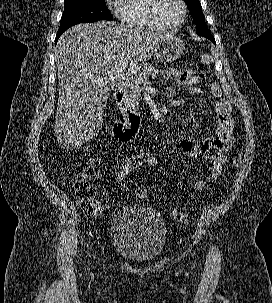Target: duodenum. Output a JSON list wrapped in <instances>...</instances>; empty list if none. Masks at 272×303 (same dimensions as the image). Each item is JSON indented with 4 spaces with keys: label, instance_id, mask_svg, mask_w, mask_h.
<instances>
[{
    "label": "duodenum",
    "instance_id": "1",
    "mask_svg": "<svg viewBox=\"0 0 272 303\" xmlns=\"http://www.w3.org/2000/svg\"><path fill=\"white\" fill-rule=\"evenodd\" d=\"M114 91L117 107L123 120L111 123L106 131L117 142L126 143L137 132L140 126V117L138 113L127 104L124 84L116 82L114 84Z\"/></svg>",
    "mask_w": 272,
    "mask_h": 303
}]
</instances>
